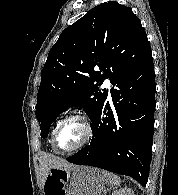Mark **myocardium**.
<instances>
[{
    "mask_svg": "<svg viewBox=\"0 0 178 195\" xmlns=\"http://www.w3.org/2000/svg\"><path fill=\"white\" fill-rule=\"evenodd\" d=\"M70 121H79L83 127H84V137L83 139L81 140V142L76 145L75 147L73 148H70V149H59L57 147V136H58V132L59 130L61 129V127L70 122ZM92 134H93V127H92V124H91V121L90 119L88 118L87 115L85 114H81V113H76V114H72L66 118H64L63 120H61L55 127L54 131H53V134H52V137H51V145H52V148L55 152L57 153H72V152H76L80 149H82L84 146H86L91 137H92Z\"/></svg>",
    "mask_w": 178,
    "mask_h": 195,
    "instance_id": "obj_1",
    "label": "myocardium"
}]
</instances>
